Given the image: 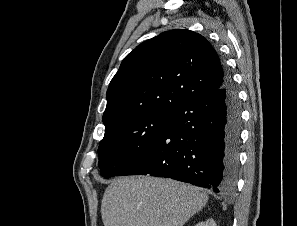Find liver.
Here are the masks:
<instances>
[{"label":"liver","instance_id":"1","mask_svg":"<svg viewBox=\"0 0 297 226\" xmlns=\"http://www.w3.org/2000/svg\"><path fill=\"white\" fill-rule=\"evenodd\" d=\"M207 201L203 189L172 179L121 177L106 188L101 215L104 226H183Z\"/></svg>","mask_w":297,"mask_h":226}]
</instances>
